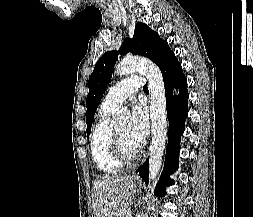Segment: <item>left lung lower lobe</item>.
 I'll return each instance as SVG.
<instances>
[{"label":"left lung lower lobe","mask_w":253,"mask_h":217,"mask_svg":"<svg viewBox=\"0 0 253 217\" xmlns=\"http://www.w3.org/2000/svg\"><path fill=\"white\" fill-rule=\"evenodd\" d=\"M161 72L165 85L166 108L169 118V136L166 150L165 167L154 193L162 197L165 195V187L174 184L169 175L178 167V155L180 138L184 131L185 119L188 115V91L187 79L182 67L175 56L168 60L162 67ZM147 160L137 171L140 177L148 184Z\"/></svg>","instance_id":"1"}]
</instances>
